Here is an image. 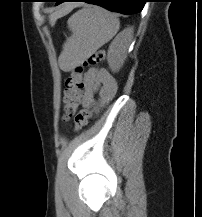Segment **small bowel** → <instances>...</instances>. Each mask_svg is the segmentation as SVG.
Returning a JSON list of instances; mask_svg holds the SVG:
<instances>
[{
	"label": "small bowel",
	"mask_w": 202,
	"mask_h": 217,
	"mask_svg": "<svg viewBox=\"0 0 202 217\" xmlns=\"http://www.w3.org/2000/svg\"><path fill=\"white\" fill-rule=\"evenodd\" d=\"M84 90L81 101L84 107H89L94 100V94L101 87V94L105 99L112 98L117 91V81L105 69H90L83 76Z\"/></svg>",
	"instance_id": "small-bowel-1"
}]
</instances>
